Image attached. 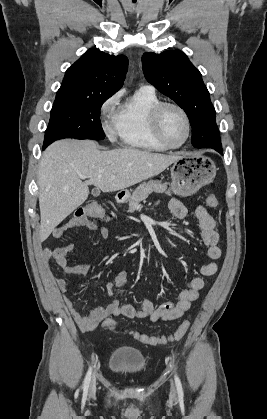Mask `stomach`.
I'll return each mask as SVG.
<instances>
[{
  "label": "stomach",
  "mask_w": 267,
  "mask_h": 419,
  "mask_svg": "<svg viewBox=\"0 0 267 419\" xmlns=\"http://www.w3.org/2000/svg\"><path fill=\"white\" fill-rule=\"evenodd\" d=\"M216 171L214 161L207 156L200 153L181 156L171 167V190L179 196H190L211 183ZM121 193V202H129V191L123 190Z\"/></svg>",
  "instance_id": "stomach-1"
}]
</instances>
